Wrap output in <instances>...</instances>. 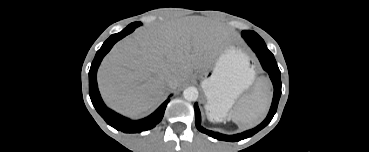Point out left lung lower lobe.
<instances>
[{"label":"left lung lower lobe","mask_w":369,"mask_h":152,"mask_svg":"<svg viewBox=\"0 0 369 152\" xmlns=\"http://www.w3.org/2000/svg\"><path fill=\"white\" fill-rule=\"evenodd\" d=\"M264 45L265 43H260V42H257V43L250 42L249 43V46L252 48V50L256 53L257 57L259 58V61L263 69L269 73V76L274 86L273 101H272V105H271L270 111L266 119L254 129H251V130H248L240 134H236V135H224L218 132L206 130L200 125L201 115H200V111L198 108V104L195 103L194 104L195 124L199 131L215 139H218V140L234 142V141H240L245 138L253 136L255 133H257L258 131H260L261 129H263L265 126H267L270 123L274 114L276 113L278 102L281 96V80H280V70L277 66L274 55L270 51H268Z\"/></svg>","instance_id":"0a47b994"}]
</instances>
